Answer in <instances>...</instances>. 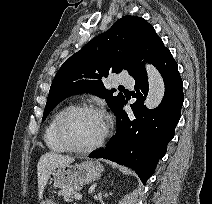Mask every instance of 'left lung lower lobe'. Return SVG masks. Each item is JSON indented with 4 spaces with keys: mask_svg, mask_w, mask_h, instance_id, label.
<instances>
[{
    "mask_svg": "<svg viewBox=\"0 0 212 204\" xmlns=\"http://www.w3.org/2000/svg\"><path fill=\"white\" fill-rule=\"evenodd\" d=\"M161 73L165 93L161 104L149 110L144 106L148 93V79L145 69L135 75L137 98L131 105L133 116L123 110L124 103L115 111L117 131L105 148L89 155L90 158H105L136 171L143 184L153 174L158 160L167 150L176 125L180 119L183 104V83L169 49H164L152 61Z\"/></svg>",
    "mask_w": 212,
    "mask_h": 204,
    "instance_id": "obj_1",
    "label": "left lung lower lobe"
}]
</instances>
